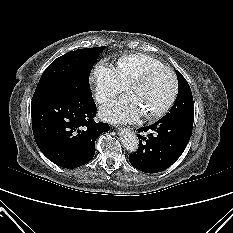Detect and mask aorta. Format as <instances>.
I'll return each mask as SVG.
<instances>
[{
  "label": "aorta",
  "mask_w": 233,
  "mask_h": 233,
  "mask_svg": "<svg viewBox=\"0 0 233 233\" xmlns=\"http://www.w3.org/2000/svg\"><path fill=\"white\" fill-rule=\"evenodd\" d=\"M121 142L124 148L129 152H136L138 149L139 141L134 132L130 130H121L119 132Z\"/></svg>",
  "instance_id": "aorta-1"
}]
</instances>
